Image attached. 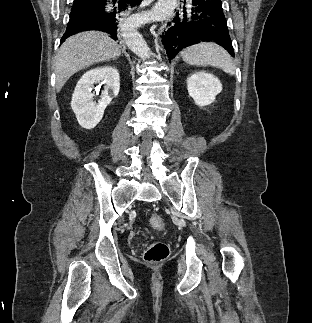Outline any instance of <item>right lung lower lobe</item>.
Listing matches in <instances>:
<instances>
[{
	"label": "right lung lower lobe",
	"mask_w": 312,
	"mask_h": 323,
	"mask_svg": "<svg viewBox=\"0 0 312 323\" xmlns=\"http://www.w3.org/2000/svg\"><path fill=\"white\" fill-rule=\"evenodd\" d=\"M141 0H76L61 43L71 35L85 30L106 32L118 40L125 24L126 12Z\"/></svg>",
	"instance_id": "1"
}]
</instances>
